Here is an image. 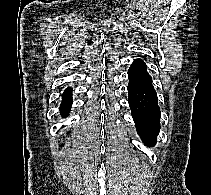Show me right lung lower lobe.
Segmentation results:
<instances>
[{
  "label": "right lung lower lobe",
  "mask_w": 211,
  "mask_h": 195,
  "mask_svg": "<svg viewBox=\"0 0 211 195\" xmlns=\"http://www.w3.org/2000/svg\"><path fill=\"white\" fill-rule=\"evenodd\" d=\"M63 102L61 104L60 111L62 115H68L70 111V106L72 105V90L71 88H67L63 93Z\"/></svg>",
  "instance_id": "right-lung-lower-lobe-1"
}]
</instances>
